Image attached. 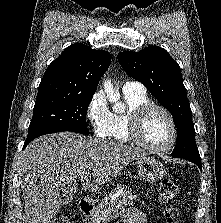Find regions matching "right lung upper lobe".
<instances>
[{
	"mask_svg": "<svg viewBox=\"0 0 221 223\" xmlns=\"http://www.w3.org/2000/svg\"><path fill=\"white\" fill-rule=\"evenodd\" d=\"M110 62L111 55L107 51L94 50L82 43L67 47L48 66L36 100L93 95Z\"/></svg>",
	"mask_w": 221,
	"mask_h": 223,
	"instance_id": "right-lung-upper-lobe-1",
	"label": "right lung upper lobe"
}]
</instances>
